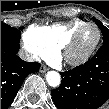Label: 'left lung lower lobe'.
<instances>
[{
  "label": "left lung lower lobe",
  "instance_id": "obj_1",
  "mask_svg": "<svg viewBox=\"0 0 109 109\" xmlns=\"http://www.w3.org/2000/svg\"><path fill=\"white\" fill-rule=\"evenodd\" d=\"M61 85L52 90L58 109H97L109 98V44H103L84 65L61 73Z\"/></svg>",
  "mask_w": 109,
  "mask_h": 109
}]
</instances>
